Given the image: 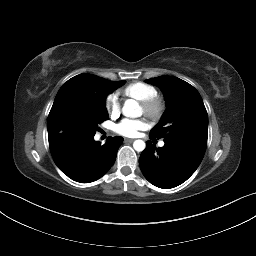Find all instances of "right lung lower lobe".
Returning a JSON list of instances; mask_svg holds the SVG:
<instances>
[{
  "instance_id": "98d812e1",
  "label": "right lung lower lobe",
  "mask_w": 256,
  "mask_h": 256,
  "mask_svg": "<svg viewBox=\"0 0 256 256\" xmlns=\"http://www.w3.org/2000/svg\"><path fill=\"white\" fill-rule=\"evenodd\" d=\"M94 135L48 132L50 151L57 167L74 181L93 182L108 172L123 142L120 136L109 137L101 146Z\"/></svg>"
}]
</instances>
